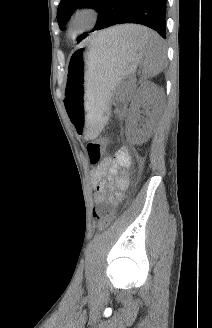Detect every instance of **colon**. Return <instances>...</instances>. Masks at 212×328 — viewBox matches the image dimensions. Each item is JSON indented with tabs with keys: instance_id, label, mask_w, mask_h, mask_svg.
<instances>
[{
	"instance_id": "obj_1",
	"label": "colon",
	"mask_w": 212,
	"mask_h": 328,
	"mask_svg": "<svg viewBox=\"0 0 212 328\" xmlns=\"http://www.w3.org/2000/svg\"><path fill=\"white\" fill-rule=\"evenodd\" d=\"M106 141L105 139H97L89 142L86 145V153L91 164H98L101 160L103 152L105 150ZM115 211L107 210L105 204H100L98 207H95L93 210V216L99 222V229H105L114 218Z\"/></svg>"
}]
</instances>
